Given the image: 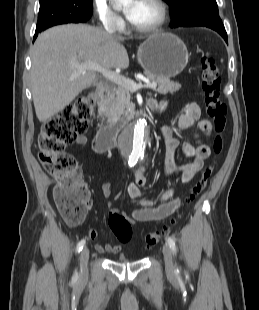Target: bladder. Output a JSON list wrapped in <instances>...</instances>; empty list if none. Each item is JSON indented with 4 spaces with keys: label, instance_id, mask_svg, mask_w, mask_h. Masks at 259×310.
Listing matches in <instances>:
<instances>
[{
    "label": "bladder",
    "instance_id": "bladder-1",
    "mask_svg": "<svg viewBox=\"0 0 259 310\" xmlns=\"http://www.w3.org/2000/svg\"><path fill=\"white\" fill-rule=\"evenodd\" d=\"M117 260H118L119 262H125V259L122 258V257L118 258Z\"/></svg>",
    "mask_w": 259,
    "mask_h": 310
}]
</instances>
